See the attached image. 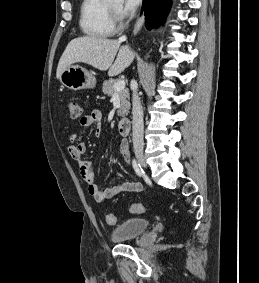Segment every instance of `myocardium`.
Here are the masks:
<instances>
[{
	"instance_id": "myocardium-1",
	"label": "myocardium",
	"mask_w": 259,
	"mask_h": 283,
	"mask_svg": "<svg viewBox=\"0 0 259 283\" xmlns=\"http://www.w3.org/2000/svg\"><path fill=\"white\" fill-rule=\"evenodd\" d=\"M112 15L114 18L115 23L118 22L121 25V16L118 7H115L113 5H110Z\"/></svg>"
}]
</instances>
